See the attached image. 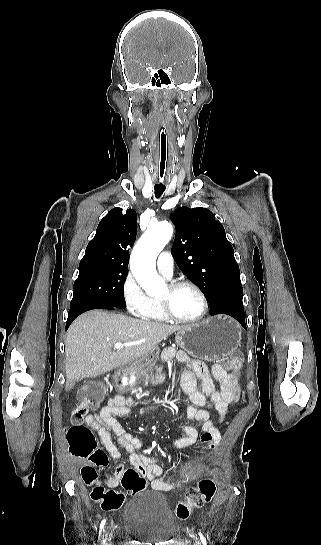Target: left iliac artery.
<instances>
[{
	"instance_id": "1",
	"label": "left iliac artery",
	"mask_w": 321,
	"mask_h": 545,
	"mask_svg": "<svg viewBox=\"0 0 321 545\" xmlns=\"http://www.w3.org/2000/svg\"><path fill=\"white\" fill-rule=\"evenodd\" d=\"M199 536H200V539L202 541V544L206 545V539L204 538V536H203V534L201 532L199 533Z\"/></svg>"
}]
</instances>
